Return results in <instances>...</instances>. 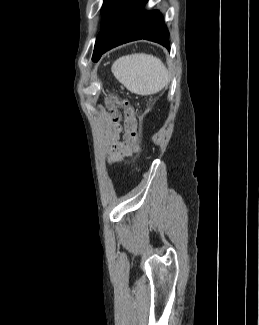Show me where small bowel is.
Here are the masks:
<instances>
[{
    "mask_svg": "<svg viewBox=\"0 0 259 325\" xmlns=\"http://www.w3.org/2000/svg\"><path fill=\"white\" fill-rule=\"evenodd\" d=\"M133 149L125 142H116L114 144V151L111 154L110 160L112 162L120 160L122 157L130 156Z\"/></svg>",
    "mask_w": 259,
    "mask_h": 325,
    "instance_id": "obj_1",
    "label": "small bowel"
}]
</instances>
